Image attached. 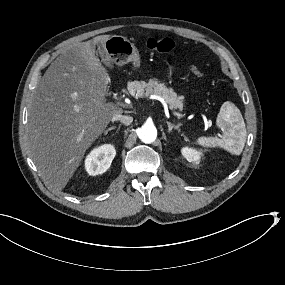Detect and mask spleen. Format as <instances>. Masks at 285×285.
<instances>
[{"label": "spleen", "mask_w": 285, "mask_h": 285, "mask_svg": "<svg viewBox=\"0 0 285 285\" xmlns=\"http://www.w3.org/2000/svg\"><path fill=\"white\" fill-rule=\"evenodd\" d=\"M235 137L238 138L237 144L239 146V153L237 155L239 156L244 148V144L246 141L245 128H242L241 131L235 135ZM215 141V137L200 136L196 139V144L204 148H211Z\"/></svg>", "instance_id": "obj_1"}]
</instances>
